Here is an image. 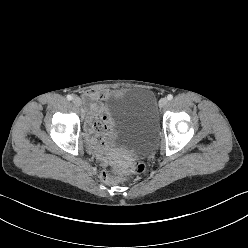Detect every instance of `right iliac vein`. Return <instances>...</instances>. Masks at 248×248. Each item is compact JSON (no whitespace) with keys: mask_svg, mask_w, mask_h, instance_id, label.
<instances>
[{"mask_svg":"<svg viewBox=\"0 0 248 248\" xmlns=\"http://www.w3.org/2000/svg\"><path fill=\"white\" fill-rule=\"evenodd\" d=\"M72 102L76 105V106H80L82 104V101L79 97H74Z\"/></svg>","mask_w":248,"mask_h":248,"instance_id":"obj_1","label":"right iliac vein"}]
</instances>
